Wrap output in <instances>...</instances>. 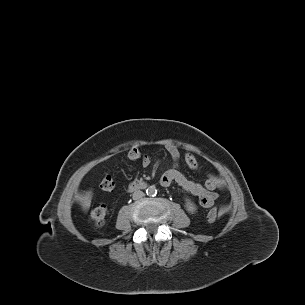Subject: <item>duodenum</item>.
Listing matches in <instances>:
<instances>
[{
	"label": "duodenum",
	"mask_w": 305,
	"mask_h": 305,
	"mask_svg": "<svg viewBox=\"0 0 305 305\" xmlns=\"http://www.w3.org/2000/svg\"><path fill=\"white\" fill-rule=\"evenodd\" d=\"M148 186V183L144 180L136 179L130 182L128 185L129 191H137V190H143Z\"/></svg>",
	"instance_id": "1"
}]
</instances>
